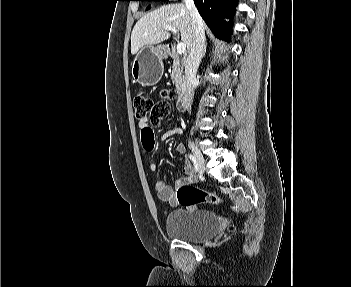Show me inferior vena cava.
<instances>
[{"mask_svg": "<svg viewBox=\"0 0 351 287\" xmlns=\"http://www.w3.org/2000/svg\"><path fill=\"white\" fill-rule=\"evenodd\" d=\"M185 6L189 11L192 19L193 41L185 64V83L190 102L194 93L196 84V73L201 61L205 45L204 22L198 13L193 0H185Z\"/></svg>", "mask_w": 351, "mask_h": 287, "instance_id": "1", "label": "inferior vena cava"}]
</instances>
